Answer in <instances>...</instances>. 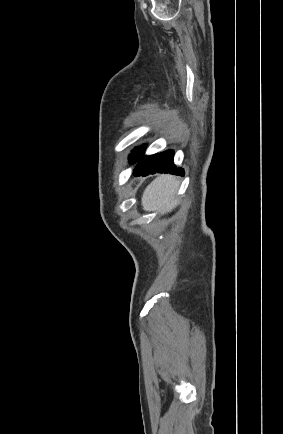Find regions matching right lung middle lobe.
<instances>
[{
	"label": "right lung middle lobe",
	"instance_id": "obj_1",
	"mask_svg": "<svg viewBox=\"0 0 283 434\" xmlns=\"http://www.w3.org/2000/svg\"><path fill=\"white\" fill-rule=\"evenodd\" d=\"M144 150L145 146H141L140 148L135 149L130 156V163L138 162L143 157Z\"/></svg>",
	"mask_w": 283,
	"mask_h": 434
}]
</instances>
